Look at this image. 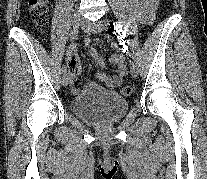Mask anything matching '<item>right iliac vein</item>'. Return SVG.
I'll use <instances>...</instances> for the list:
<instances>
[{
    "label": "right iliac vein",
    "mask_w": 207,
    "mask_h": 179,
    "mask_svg": "<svg viewBox=\"0 0 207 179\" xmlns=\"http://www.w3.org/2000/svg\"><path fill=\"white\" fill-rule=\"evenodd\" d=\"M82 22L81 15L79 13H74L72 16V27L74 30H78ZM70 82V78L67 73L63 74L62 76V85L67 87Z\"/></svg>",
    "instance_id": "right-iliac-vein-1"
}]
</instances>
